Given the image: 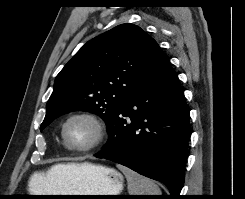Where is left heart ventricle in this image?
Masks as SVG:
<instances>
[{
	"mask_svg": "<svg viewBox=\"0 0 245 199\" xmlns=\"http://www.w3.org/2000/svg\"><path fill=\"white\" fill-rule=\"evenodd\" d=\"M95 136L96 130L94 125L86 119H74L67 126V137L74 146H87L93 142Z\"/></svg>",
	"mask_w": 245,
	"mask_h": 199,
	"instance_id": "b2bd125f",
	"label": "left heart ventricle"
}]
</instances>
